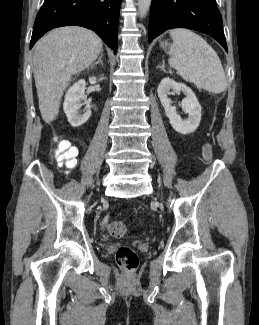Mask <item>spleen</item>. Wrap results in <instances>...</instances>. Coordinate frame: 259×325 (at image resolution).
Returning a JSON list of instances; mask_svg holds the SVG:
<instances>
[{
	"label": "spleen",
	"instance_id": "obj_1",
	"mask_svg": "<svg viewBox=\"0 0 259 325\" xmlns=\"http://www.w3.org/2000/svg\"><path fill=\"white\" fill-rule=\"evenodd\" d=\"M173 43L168 63L188 82L211 93L226 88V77L216 51L198 34L184 28L170 30Z\"/></svg>",
	"mask_w": 259,
	"mask_h": 325
}]
</instances>
